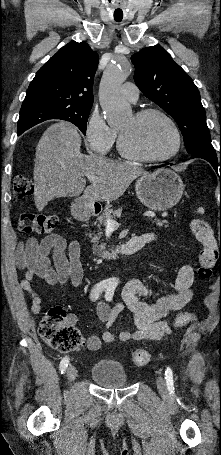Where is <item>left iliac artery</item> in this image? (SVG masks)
I'll use <instances>...</instances> for the list:
<instances>
[{
    "label": "left iliac artery",
    "instance_id": "left-iliac-artery-1",
    "mask_svg": "<svg viewBox=\"0 0 221 455\" xmlns=\"http://www.w3.org/2000/svg\"><path fill=\"white\" fill-rule=\"evenodd\" d=\"M115 288L113 286H109L106 290L105 298L107 301H111L114 295ZM165 380L169 390L174 389V382H173V372L171 368L167 367L165 371Z\"/></svg>",
    "mask_w": 221,
    "mask_h": 455
}]
</instances>
